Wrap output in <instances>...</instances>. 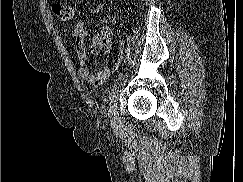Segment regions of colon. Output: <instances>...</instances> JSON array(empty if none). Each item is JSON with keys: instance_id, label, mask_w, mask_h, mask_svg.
Listing matches in <instances>:
<instances>
[{"instance_id": "obj_1", "label": "colon", "mask_w": 243, "mask_h": 182, "mask_svg": "<svg viewBox=\"0 0 243 182\" xmlns=\"http://www.w3.org/2000/svg\"><path fill=\"white\" fill-rule=\"evenodd\" d=\"M53 12L62 20H71L73 18V9L70 5L65 3H55L53 5Z\"/></svg>"}]
</instances>
